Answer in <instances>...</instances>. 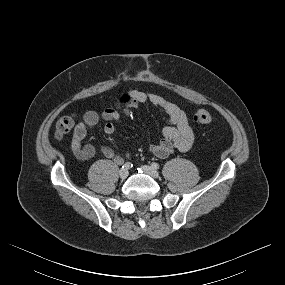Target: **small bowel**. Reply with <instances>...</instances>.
<instances>
[{
  "mask_svg": "<svg viewBox=\"0 0 285 285\" xmlns=\"http://www.w3.org/2000/svg\"><path fill=\"white\" fill-rule=\"evenodd\" d=\"M151 103L160 108L169 119V126L162 129V138L157 143L150 145V151L160 158L168 157L174 150L188 151L195 139V134L189 124L186 112L177 104L167 100L161 95L138 90H128L122 93L112 105L104 109L100 114L94 110L87 111L83 120L79 122L73 131L71 151L81 161H89L96 154V148L92 145H84L83 140L90 129L95 127L100 119L106 121L103 128L106 135L115 132V124L120 120V114L116 107H123L127 116H132V110L140 104ZM99 151L116 164H121L124 157L116 153L112 148L102 145ZM130 155L127 153L126 157Z\"/></svg>",
  "mask_w": 285,
  "mask_h": 285,
  "instance_id": "c3829d8e",
  "label": "small bowel"
}]
</instances>
